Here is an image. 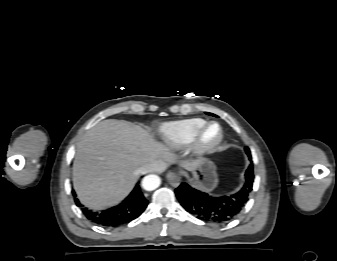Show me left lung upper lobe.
Returning a JSON list of instances; mask_svg holds the SVG:
<instances>
[{
  "label": "left lung upper lobe",
  "instance_id": "1",
  "mask_svg": "<svg viewBox=\"0 0 337 261\" xmlns=\"http://www.w3.org/2000/svg\"><path fill=\"white\" fill-rule=\"evenodd\" d=\"M245 151H246V153H247L249 159H251V153H250L249 148H248V147H245ZM251 165H252V164H251Z\"/></svg>",
  "mask_w": 337,
  "mask_h": 261
}]
</instances>
